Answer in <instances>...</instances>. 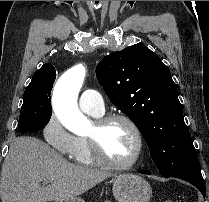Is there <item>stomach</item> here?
I'll return each mask as SVG.
<instances>
[{"instance_id": "0dacf381", "label": "stomach", "mask_w": 209, "mask_h": 202, "mask_svg": "<svg viewBox=\"0 0 209 202\" xmlns=\"http://www.w3.org/2000/svg\"><path fill=\"white\" fill-rule=\"evenodd\" d=\"M113 195L118 202H149L152 196L150 184L135 174L119 175L112 187ZM55 202H84L81 198H64Z\"/></svg>"}]
</instances>
